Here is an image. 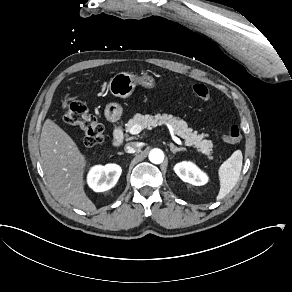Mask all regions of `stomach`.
<instances>
[{"label": "stomach", "mask_w": 292, "mask_h": 292, "mask_svg": "<svg viewBox=\"0 0 292 292\" xmlns=\"http://www.w3.org/2000/svg\"><path fill=\"white\" fill-rule=\"evenodd\" d=\"M136 84H141L146 88H153L155 82L153 77L148 75L137 76L127 72H120L111 78L109 82V90L112 95L120 98L129 97ZM122 115V107L118 103H109L105 108V117L108 121L116 122Z\"/></svg>", "instance_id": "1"}]
</instances>
